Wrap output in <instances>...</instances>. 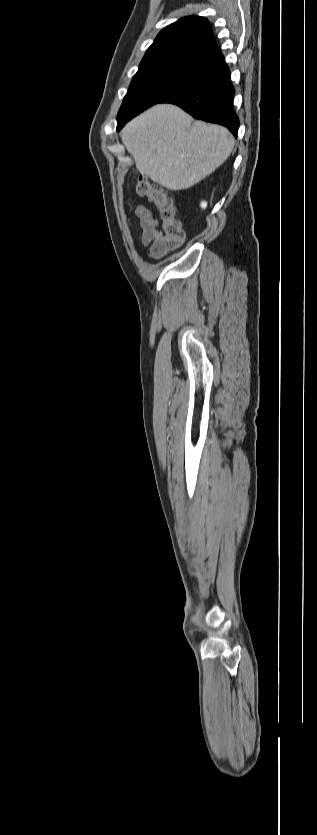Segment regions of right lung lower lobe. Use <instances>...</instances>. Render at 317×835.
I'll return each instance as SVG.
<instances>
[{
    "instance_id": "obj_1",
    "label": "right lung lower lobe",
    "mask_w": 317,
    "mask_h": 835,
    "mask_svg": "<svg viewBox=\"0 0 317 835\" xmlns=\"http://www.w3.org/2000/svg\"><path fill=\"white\" fill-rule=\"evenodd\" d=\"M189 59L206 80L161 103L176 104L196 119L225 126L236 137L240 122L233 110L235 90L221 52L215 50Z\"/></svg>"
}]
</instances>
